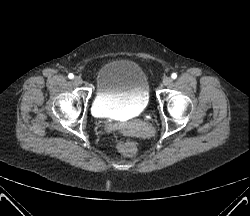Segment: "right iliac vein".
I'll list each match as a JSON object with an SVG mask.
<instances>
[{
	"mask_svg": "<svg viewBox=\"0 0 250 216\" xmlns=\"http://www.w3.org/2000/svg\"><path fill=\"white\" fill-rule=\"evenodd\" d=\"M74 83H75L76 85H81V84L83 83V80H82L81 77L76 76V77L74 78Z\"/></svg>",
	"mask_w": 250,
	"mask_h": 216,
	"instance_id": "1",
	"label": "right iliac vein"
}]
</instances>
